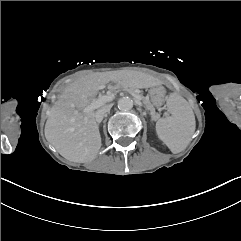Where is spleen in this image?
Here are the masks:
<instances>
[{
	"label": "spleen",
	"mask_w": 241,
	"mask_h": 241,
	"mask_svg": "<svg viewBox=\"0 0 241 241\" xmlns=\"http://www.w3.org/2000/svg\"><path fill=\"white\" fill-rule=\"evenodd\" d=\"M168 96L172 115L157 121L156 132L172 153H179L187 147L195 131V117L180 94L170 90Z\"/></svg>",
	"instance_id": "spleen-1"
}]
</instances>
